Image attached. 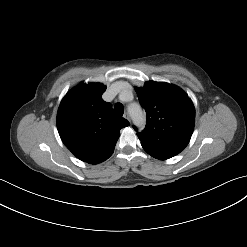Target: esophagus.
Wrapping results in <instances>:
<instances>
[{"label": "esophagus", "instance_id": "esophagus-1", "mask_svg": "<svg viewBox=\"0 0 247 247\" xmlns=\"http://www.w3.org/2000/svg\"><path fill=\"white\" fill-rule=\"evenodd\" d=\"M125 119H127L129 122H131L130 116L128 113H125L123 116Z\"/></svg>", "mask_w": 247, "mask_h": 247}]
</instances>
